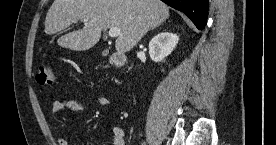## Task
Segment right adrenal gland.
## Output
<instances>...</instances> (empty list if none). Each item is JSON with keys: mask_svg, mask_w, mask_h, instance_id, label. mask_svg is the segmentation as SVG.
Wrapping results in <instances>:
<instances>
[{"mask_svg": "<svg viewBox=\"0 0 276 145\" xmlns=\"http://www.w3.org/2000/svg\"><path fill=\"white\" fill-rule=\"evenodd\" d=\"M160 25H157V26H155V27H153L151 30H154L156 27H159Z\"/></svg>", "mask_w": 276, "mask_h": 145, "instance_id": "obj_1", "label": "right adrenal gland"}]
</instances>
